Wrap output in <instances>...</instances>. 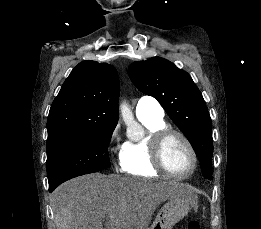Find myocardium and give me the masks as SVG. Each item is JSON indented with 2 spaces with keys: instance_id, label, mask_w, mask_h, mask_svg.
Segmentation results:
<instances>
[{
  "instance_id": "myocardium-1",
  "label": "myocardium",
  "mask_w": 261,
  "mask_h": 229,
  "mask_svg": "<svg viewBox=\"0 0 261 229\" xmlns=\"http://www.w3.org/2000/svg\"><path fill=\"white\" fill-rule=\"evenodd\" d=\"M176 137L180 138L185 143L192 157V167L184 174H178L171 170L165 159L166 145L171 139ZM152 160L161 172L175 179L190 177L195 172L198 164L197 153L191 141L182 132L171 128H164L154 136L152 142Z\"/></svg>"
}]
</instances>
